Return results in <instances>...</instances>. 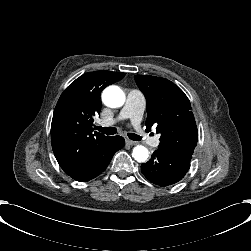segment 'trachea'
Returning a JSON list of instances; mask_svg holds the SVG:
<instances>
[{"instance_id":"obj_1","label":"trachea","mask_w":251,"mask_h":251,"mask_svg":"<svg viewBox=\"0 0 251 251\" xmlns=\"http://www.w3.org/2000/svg\"><path fill=\"white\" fill-rule=\"evenodd\" d=\"M95 129H97L98 131L106 135H114L117 133V129L115 127H97L96 126ZM127 136L131 140H135V141H140L142 139L139 135H136L134 133H127Z\"/></svg>"}]
</instances>
